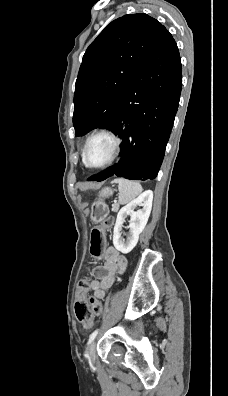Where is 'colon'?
Returning <instances> with one entry per match:
<instances>
[{"mask_svg": "<svg viewBox=\"0 0 228 396\" xmlns=\"http://www.w3.org/2000/svg\"><path fill=\"white\" fill-rule=\"evenodd\" d=\"M111 223V218H106L101 224L95 226L91 232L90 253L95 258L102 256L105 240L104 232ZM89 285L88 278L78 281L74 303L76 319L85 328H90L93 316L99 315L102 311L101 304L96 299L87 297Z\"/></svg>", "mask_w": 228, "mask_h": 396, "instance_id": "1", "label": "colon"}]
</instances>
